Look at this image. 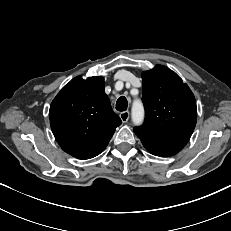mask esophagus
<instances>
[{
	"mask_svg": "<svg viewBox=\"0 0 231 231\" xmlns=\"http://www.w3.org/2000/svg\"><path fill=\"white\" fill-rule=\"evenodd\" d=\"M129 117H130L129 111H124V112L120 113V118H121L123 123H126L129 120Z\"/></svg>",
	"mask_w": 231,
	"mask_h": 231,
	"instance_id": "1",
	"label": "esophagus"
}]
</instances>
